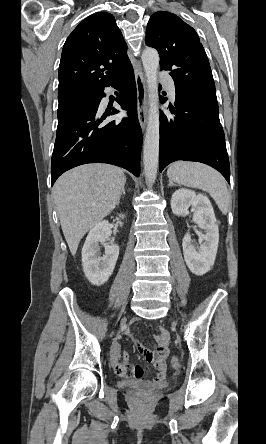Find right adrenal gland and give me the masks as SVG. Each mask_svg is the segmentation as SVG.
I'll list each match as a JSON object with an SVG mask.
<instances>
[{
	"instance_id": "right-adrenal-gland-1",
	"label": "right adrenal gland",
	"mask_w": 266,
	"mask_h": 444,
	"mask_svg": "<svg viewBox=\"0 0 266 444\" xmlns=\"http://www.w3.org/2000/svg\"><path fill=\"white\" fill-rule=\"evenodd\" d=\"M123 195H125V189H124V188H123V190H122V193H121V195H120V198L123 197ZM120 198H119V200H118V202H117V205L120 204Z\"/></svg>"
}]
</instances>
